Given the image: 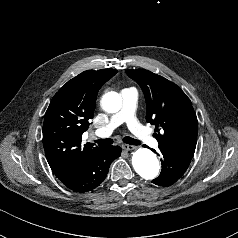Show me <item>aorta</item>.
Here are the masks:
<instances>
[{
	"mask_svg": "<svg viewBox=\"0 0 238 238\" xmlns=\"http://www.w3.org/2000/svg\"><path fill=\"white\" fill-rule=\"evenodd\" d=\"M102 107L108 113H116L121 108V98L116 92H108L102 98ZM132 165L135 171L144 179L151 180L159 174V162L155 154L146 149L139 148L133 153Z\"/></svg>",
	"mask_w": 238,
	"mask_h": 238,
	"instance_id": "762f6f07",
	"label": "aorta"
}]
</instances>
